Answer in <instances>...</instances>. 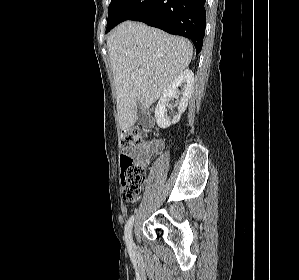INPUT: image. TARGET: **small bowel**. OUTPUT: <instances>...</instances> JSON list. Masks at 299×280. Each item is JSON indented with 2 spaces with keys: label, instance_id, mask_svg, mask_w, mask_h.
Returning <instances> with one entry per match:
<instances>
[{
  "label": "small bowel",
  "instance_id": "small-bowel-1",
  "mask_svg": "<svg viewBox=\"0 0 299 280\" xmlns=\"http://www.w3.org/2000/svg\"><path fill=\"white\" fill-rule=\"evenodd\" d=\"M164 148V142L161 139L147 141L143 145L137 147L135 151L141 159H148L151 153H158Z\"/></svg>",
  "mask_w": 299,
  "mask_h": 280
}]
</instances>
